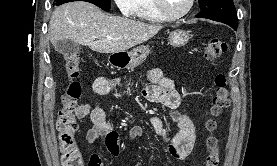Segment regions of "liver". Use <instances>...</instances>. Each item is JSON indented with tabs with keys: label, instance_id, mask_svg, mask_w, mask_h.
I'll list each match as a JSON object with an SVG mask.
<instances>
[{
	"label": "liver",
	"instance_id": "1",
	"mask_svg": "<svg viewBox=\"0 0 277 166\" xmlns=\"http://www.w3.org/2000/svg\"><path fill=\"white\" fill-rule=\"evenodd\" d=\"M162 28L104 13L89 2L75 1L54 10L48 37L53 46L69 39L99 53H119L151 39Z\"/></svg>",
	"mask_w": 277,
	"mask_h": 166
}]
</instances>
